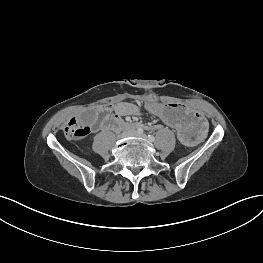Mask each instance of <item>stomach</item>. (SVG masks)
I'll use <instances>...</instances> for the list:
<instances>
[{
    "label": "stomach",
    "mask_w": 263,
    "mask_h": 263,
    "mask_svg": "<svg viewBox=\"0 0 263 263\" xmlns=\"http://www.w3.org/2000/svg\"><path fill=\"white\" fill-rule=\"evenodd\" d=\"M149 111L154 118L174 128L178 140L188 147L204 143L211 133L209 122L198 110L187 111L175 103H152Z\"/></svg>",
    "instance_id": "stomach-1"
}]
</instances>
